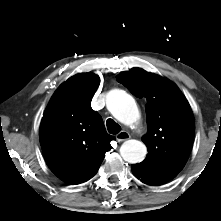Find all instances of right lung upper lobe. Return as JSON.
Masks as SVG:
<instances>
[{
	"label": "right lung upper lobe",
	"mask_w": 221,
	"mask_h": 221,
	"mask_svg": "<svg viewBox=\"0 0 221 221\" xmlns=\"http://www.w3.org/2000/svg\"><path fill=\"white\" fill-rule=\"evenodd\" d=\"M99 83L92 73L69 78L50 99L41 121L45 160L58 178L71 185L96 174L114 139L90 105Z\"/></svg>",
	"instance_id": "right-lung-upper-lobe-1"
}]
</instances>
